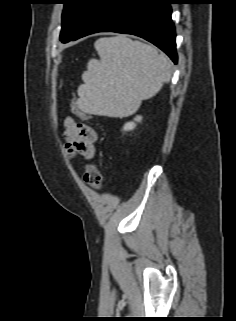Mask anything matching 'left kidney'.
I'll return each mask as SVG.
<instances>
[{"instance_id": "5707ae66", "label": "left kidney", "mask_w": 236, "mask_h": 321, "mask_svg": "<svg viewBox=\"0 0 236 321\" xmlns=\"http://www.w3.org/2000/svg\"><path fill=\"white\" fill-rule=\"evenodd\" d=\"M142 120V117L141 116H136L134 118V121H131V122H127L124 127H123V130L124 131H131L133 130L135 127H136V123L135 122H141Z\"/></svg>"}]
</instances>
